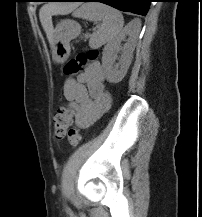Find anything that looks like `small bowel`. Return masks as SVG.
I'll return each instance as SVG.
<instances>
[{"instance_id":"1","label":"small bowel","mask_w":202,"mask_h":217,"mask_svg":"<svg viewBox=\"0 0 202 217\" xmlns=\"http://www.w3.org/2000/svg\"><path fill=\"white\" fill-rule=\"evenodd\" d=\"M104 81L102 66L94 62L77 78H70L64 82L62 93L75 112L78 127L88 128L109 107L110 99Z\"/></svg>"}]
</instances>
